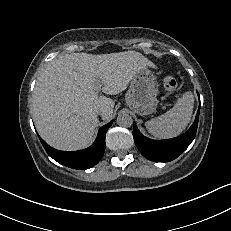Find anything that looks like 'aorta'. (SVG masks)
I'll return each mask as SVG.
<instances>
[{
	"instance_id": "obj_1",
	"label": "aorta",
	"mask_w": 231,
	"mask_h": 231,
	"mask_svg": "<svg viewBox=\"0 0 231 231\" xmlns=\"http://www.w3.org/2000/svg\"><path fill=\"white\" fill-rule=\"evenodd\" d=\"M117 124L121 127H130L133 124V119L127 113H120L117 117Z\"/></svg>"
}]
</instances>
